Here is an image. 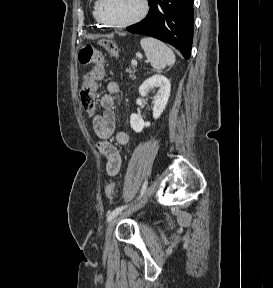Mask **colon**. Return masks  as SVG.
Returning a JSON list of instances; mask_svg holds the SVG:
<instances>
[{
  "instance_id": "1",
  "label": "colon",
  "mask_w": 273,
  "mask_h": 288,
  "mask_svg": "<svg viewBox=\"0 0 273 288\" xmlns=\"http://www.w3.org/2000/svg\"><path fill=\"white\" fill-rule=\"evenodd\" d=\"M106 51L114 56H118V47L114 41L104 42ZM79 62L83 65L92 64V70L85 76L83 85L79 92L82 108L88 113L93 114L95 110L96 81L102 79L104 75V59L101 51L96 47L85 44L79 51ZM117 187L115 182L109 181L105 186V195L112 201L116 196Z\"/></svg>"
}]
</instances>
